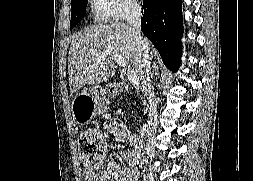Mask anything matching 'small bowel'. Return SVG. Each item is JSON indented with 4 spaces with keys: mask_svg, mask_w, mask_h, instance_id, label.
Returning a JSON list of instances; mask_svg holds the SVG:
<instances>
[{
    "mask_svg": "<svg viewBox=\"0 0 253 181\" xmlns=\"http://www.w3.org/2000/svg\"><path fill=\"white\" fill-rule=\"evenodd\" d=\"M105 129L114 136L135 146V148L123 155L122 164L110 161L102 172H86L87 181H136L138 177V158L141 150V141L137 135L129 130L122 121L115 119L105 125Z\"/></svg>",
    "mask_w": 253,
    "mask_h": 181,
    "instance_id": "obj_1",
    "label": "small bowel"
}]
</instances>
